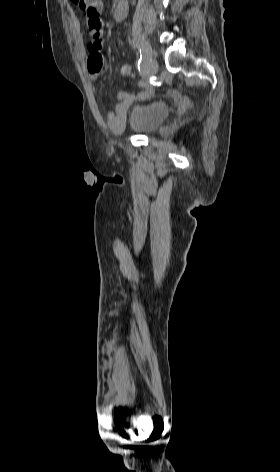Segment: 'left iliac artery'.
Returning <instances> with one entry per match:
<instances>
[{
    "label": "left iliac artery",
    "mask_w": 280,
    "mask_h": 472,
    "mask_svg": "<svg viewBox=\"0 0 280 472\" xmlns=\"http://www.w3.org/2000/svg\"><path fill=\"white\" fill-rule=\"evenodd\" d=\"M133 44L139 49L140 51V59L138 61L137 67L140 69L144 63L146 62L149 56V48L139 40H133Z\"/></svg>",
    "instance_id": "obj_1"
}]
</instances>
